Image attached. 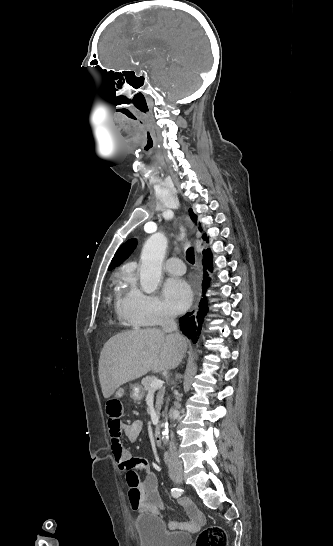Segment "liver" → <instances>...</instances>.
Segmentation results:
<instances>
[{
	"mask_svg": "<svg viewBox=\"0 0 333 546\" xmlns=\"http://www.w3.org/2000/svg\"><path fill=\"white\" fill-rule=\"evenodd\" d=\"M174 335L157 328L129 331L110 338L99 358V380L104 398H109L121 385L148 372L159 373L176 368L183 356Z\"/></svg>",
	"mask_w": 333,
	"mask_h": 546,
	"instance_id": "liver-1",
	"label": "liver"
}]
</instances>
